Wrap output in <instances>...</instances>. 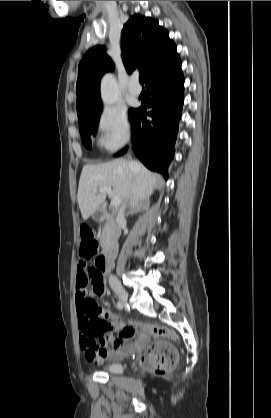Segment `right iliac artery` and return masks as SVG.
I'll use <instances>...</instances> for the list:
<instances>
[{
	"instance_id": "right-iliac-artery-1",
	"label": "right iliac artery",
	"mask_w": 271,
	"mask_h": 418,
	"mask_svg": "<svg viewBox=\"0 0 271 418\" xmlns=\"http://www.w3.org/2000/svg\"><path fill=\"white\" fill-rule=\"evenodd\" d=\"M117 308L119 309V310H122L123 309V304L121 303V302H117Z\"/></svg>"
}]
</instances>
